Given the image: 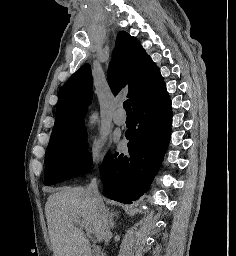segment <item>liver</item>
Returning a JSON list of instances; mask_svg holds the SVG:
<instances>
[{
	"label": "liver",
	"mask_w": 236,
	"mask_h": 256,
	"mask_svg": "<svg viewBox=\"0 0 236 256\" xmlns=\"http://www.w3.org/2000/svg\"><path fill=\"white\" fill-rule=\"evenodd\" d=\"M45 214L54 256H91V244L84 232L75 228L74 216L85 220L98 242L104 240L106 210L84 188H58L47 198Z\"/></svg>",
	"instance_id": "1"
}]
</instances>
